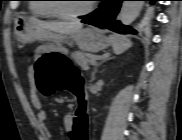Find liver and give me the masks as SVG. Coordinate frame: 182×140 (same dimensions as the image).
Segmentation results:
<instances>
[{"mask_svg": "<svg viewBox=\"0 0 182 140\" xmlns=\"http://www.w3.org/2000/svg\"><path fill=\"white\" fill-rule=\"evenodd\" d=\"M30 20L38 25L46 34L44 38L50 39V35L52 33H59L64 35H71L76 33L82 28V23L79 21H70V22H59V21H51V22H44L38 20L36 18H30Z\"/></svg>", "mask_w": 182, "mask_h": 140, "instance_id": "liver-1", "label": "liver"}]
</instances>
